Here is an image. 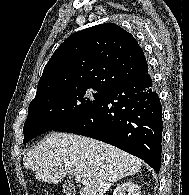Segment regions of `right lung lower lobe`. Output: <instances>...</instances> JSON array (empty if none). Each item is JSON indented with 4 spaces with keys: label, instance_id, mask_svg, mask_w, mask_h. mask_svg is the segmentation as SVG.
Returning <instances> with one entry per match:
<instances>
[{
    "label": "right lung lower lobe",
    "instance_id": "1",
    "mask_svg": "<svg viewBox=\"0 0 189 195\" xmlns=\"http://www.w3.org/2000/svg\"><path fill=\"white\" fill-rule=\"evenodd\" d=\"M55 131L112 144L143 159L159 173L162 107L148 67L143 75L109 88L88 111Z\"/></svg>",
    "mask_w": 189,
    "mask_h": 195
}]
</instances>
